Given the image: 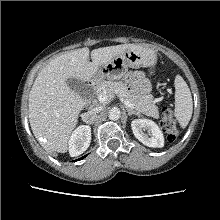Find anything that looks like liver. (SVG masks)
Segmentation results:
<instances>
[{
  "label": "liver",
  "instance_id": "1",
  "mask_svg": "<svg viewBox=\"0 0 220 220\" xmlns=\"http://www.w3.org/2000/svg\"><path fill=\"white\" fill-rule=\"evenodd\" d=\"M133 44L94 49L92 62L89 48L65 53L51 60L38 74L29 94V122L34 136L42 139L47 151L65 153L70 134L88 101L72 90L70 78L91 81L99 67L122 54Z\"/></svg>",
  "mask_w": 220,
  "mask_h": 220
}]
</instances>
